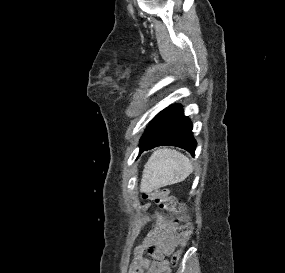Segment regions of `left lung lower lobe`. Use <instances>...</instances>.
<instances>
[{"mask_svg": "<svg viewBox=\"0 0 285 273\" xmlns=\"http://www.w3.org/2000/svg\"><path fill=\"white\" fill-rule=\"evenodd\" d=\"M140 150L157 146H177L194 155L197 145L192 123L184 116L180 105H171L158 113L150 122L140 140Z\"/></svg>", "mask_w": 285, "mask_h": 273, "instance_id": "1", "label": "left lung lower lobe"}]
</instances>
